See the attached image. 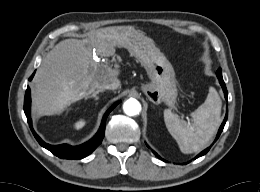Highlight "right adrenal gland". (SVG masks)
<instances>
[{
	"label": "right adrenal gland",
	"instance_id": "1",
	"mask_svg": "<svg viewBox=\"0 0 260 192\" xmlns=\"http://www.w3.org/2000/svg\"><path fill=\"white\" fill-rule=\"evenodd\" d=\"M100 92H102V90H97L95 91L93 94H91L90 96L86 97L85 99H90L93 98L95 101L99 99V97L97 96V94H99Z\"/></svg>",
	"mask_w": 260,
	"mask_h": 192
}]
</instances>
